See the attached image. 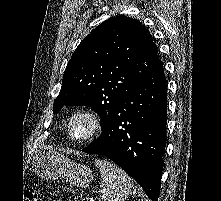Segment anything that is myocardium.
Segmentation results:
<instances>
[{
  "label": "myocardium",
  "instance_id": "myocardium-1",
  "mask_svg": "<svg viewBox=\"0 0 221 201\" xmlns=\"http://www.w3.org/2000/svg\"><path fill=\"white\" fill-rule=\"evenodd\" d=\"M77 119H85L89 124V129L84 136L76 137L72 133V125ZM101 127L100 117L95 110L89 107L76 109L68 118L66 131L68 137L76 142H86L91 140L99 132Z\"/></svg>",
  "mask_w": 221,
  "mask_h": 201
}]
</instances>
